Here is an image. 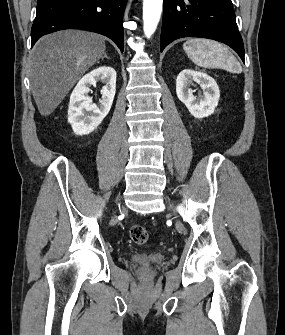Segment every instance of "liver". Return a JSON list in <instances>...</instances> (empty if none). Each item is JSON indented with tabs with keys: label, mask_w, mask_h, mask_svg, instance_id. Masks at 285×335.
<instances>
[{
	"label": "liver",
	"mask_w": 285,
	"mask_h": 335,
	"mask_svg": "<svg viewBox=\"0 0 285 335\" xmlns=\"http://www.w3.org/2000/svg\"><path fill=\"white\" fill-rule=\"evenodd\" d=\"M103 36L64 30L41 38L29 56L32 96L41 116H50L83 74L105 54Z\"/></svg>",
	"instance_id": "1"
}]
</instances>
